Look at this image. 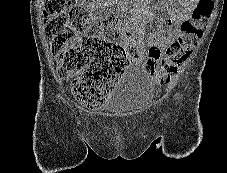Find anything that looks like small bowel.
<instances>
[{
    "label": "small bowel",
    "instance_id": "obj_1",
    "mask_svg": "<svg viewBox=\"0 0 227 173\" xmlns=\"http://www.w3.org/2000/svg\"><path fill=\"white\" fill-rule=\"evenodd\" d=\"M198 0H162L160 7L168 11V17L158 18L159 29L148 36L147 42L151 47L165 48L171 45L179 36L178 31L172 26H178L187 20L194 10ZM153 18L150 11L141 9L131 20L122 26L123 41L119 47L126 53L136 49V54H130L128 59L141 61L144 50V26Z\"/></svg>",
    "mask_w": 227,
    "mask_h": 173
}]
</instances>
